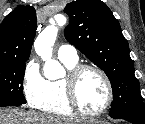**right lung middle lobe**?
<instances>
[{
  "mask_svg": "<svg viewBox=\"0 0 145 124\" xmlns=\"http://www.w3.org/2000/svg\"><path fill=\"white\" fill-rule=\"evenodd\" d=\"M26 60L0 62V104H25L23 78Z\"/></svg>",
  "mask_w": 145,
  "mask_h": 124,
  "instance_id": "dd1d6c3e",
  "label": "right lung middle lobe"
}]
</instances>
